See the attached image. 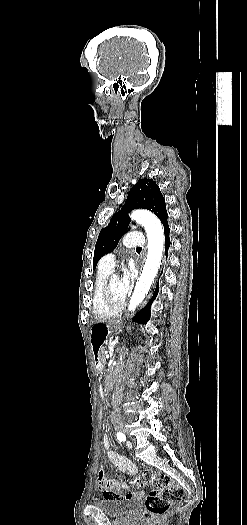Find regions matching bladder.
<instances>
[{
	"label": "bladder",
	"instance_id": "bladder-1",
	"mask_svg": "<svg viewBox=\"0 0 247 525\" xmlns=\"http://www.w3.org/2000/svg\"><path fill=\"white\" fill-rule=\"evenodd\" d=\"M93 504L107 516L113 518H123L142 508V502L139 501L138 497H95Z\"/></svg>",
	"mask_w": 247,
	"mask_h": 525
}]
</instances>
